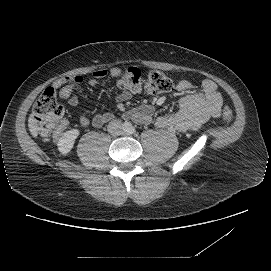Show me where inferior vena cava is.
Returning a JSON list of instances; mask_svg holds the SVG:
<instances>
[{
	"instance_id": "inferior-vena-cava-1",
	"label": "inferior vena cava",
	"mask_w": 271,
	"mask_h": 271,
	"mask_svg": "<svg viewBox=\"0 0 271 271\" xmlns=\"http://www.w3.org/2000/svg\"><path fill=\"white\" fill-rule=\"evenodd\" d=\"M123 130V125L118 120L111 121L107 126V131L112 136L119 135Z\"/></svg>"
}]
</instances>
